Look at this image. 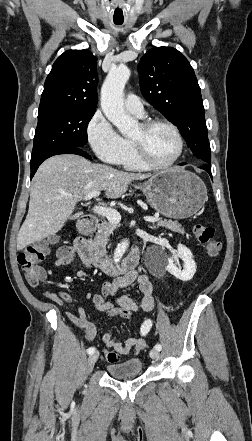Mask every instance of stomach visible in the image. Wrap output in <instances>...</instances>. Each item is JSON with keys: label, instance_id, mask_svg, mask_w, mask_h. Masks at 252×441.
Wrapping results in <instances>:
<instances>
[{"label": "stomach", "instance_id": "obj_1", "mask_svg": "<svg viewBox=\"0 0 252 441\" xmlns=\"http://www.w3.org/2000/svg\"><path fill=\"white\" fill-rule=\"evenodd\" d=\"M138 188L155 210L173 219L191 217L207 199L204 182L179 167L158 172Z\"/></svg>", "mask_w": 252, "mask_h": 441}]
</instances>
